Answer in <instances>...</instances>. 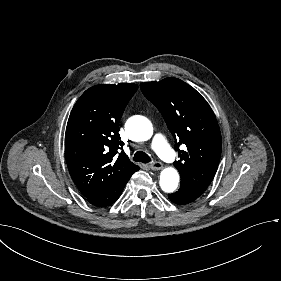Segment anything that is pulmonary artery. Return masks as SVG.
Returning a JSON list of instances; mask_svg holds the SVG:
<instances>
[{
  "label": "pulmonary artery",
  "instance_id": "1",
  "mask_svg": "<svg viewBox=\"0 0 281 281\" xmlns=\"http://www.w3.org/2000/svg\"><path fill=\"white\" fill-rule=\"evenodd\" d=\"M152 140L153 146L156 148L159 155L169 164H174L177 161V152L172 146L169 145L160 132H155L152 135Z\"/></svg>",
  "mask_w": 281,
  "mask_h": 281
}]
</instances>
